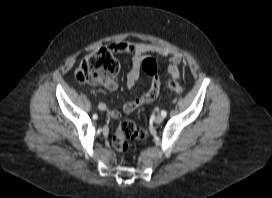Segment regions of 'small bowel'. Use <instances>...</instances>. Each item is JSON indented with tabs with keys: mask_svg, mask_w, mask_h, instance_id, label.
Segmentation results:
<instances>
[{
	"mask_svg": "<svg viewBox=\"0 0 272 198\" xmlns=\"http://www.w3.org/2000/svg\"><path fill=\"white\" fill-rule=\"evenodd\" d=\"M112 48L117 53L132 55L131 67L127 73L125 82L127 89L133 88L136 84L140 74L141 64L146 54H157L168 58L169 64L166 71L167 75L172 79H179L181 76L180 67L183 63L182 55L180 53L172 52L163 46L144 42H116L112 44ZM149 76L151 77L149 90L141 96L126 102L122 107L124 113H131L141 105L149 103L157 97L164 80L157 72H153L149 74ZM104 86L111 91L117 89V83L113 79L106 82ZM108 116L111 119H118L121 117V111L112 109L109 111Z\"/></svg>",
	"mask_w": 272,
	"mask_h": 198,
	"instance_id": "1",
	"label": "small bowel"
}]
</instances>
